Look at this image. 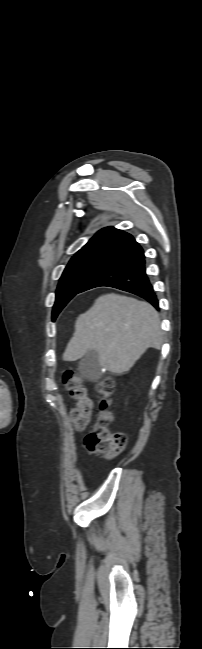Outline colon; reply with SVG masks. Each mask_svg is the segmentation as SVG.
I'll return each mask as SVG.
<instances>
[{"mask_svg": "<svg viewBox=\"0 0 202 649\" xmlns=\"http://www.w3.org/2000/svg\"><path fill=\"white\" fill-rule=\"evenodd\" d=\"M63 380L75 406L70 409L71 420L78 430H84L89 423L93 402L87 394L84 379L79 372L70 369L64 373ZM96 389L102 396L100 413L92 430L86 435L85 444L89 451L113 458L124 451L127 437L121 432H112L109 425L112 414L108 411L109 399L113 394L114 380L103 376L96 383Z\"/></svg>", "mask_w": 202, "mask_h": 649, "instance_id": "obj_1", "label": "colon"}]
</instances>
